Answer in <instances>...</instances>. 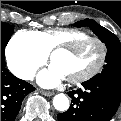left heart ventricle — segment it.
<instances>
[{"label":"left heart ventricle","mask_w":121,"mask_h":121,"mask_svg":"<svg viewBox=\"0 0 121 121\" xmlns=\"http://www.w3.org/2000/svg\"><path fill=\"white\" fill-rule=\"evenodd\" d=\"M100 48L96 43H87L83 49L73 55L63 52L56 53L51 60L63 76L72 78L91 69L99 60Z\"/></svg>","instance_id":"obj_1"}]
</instances>
